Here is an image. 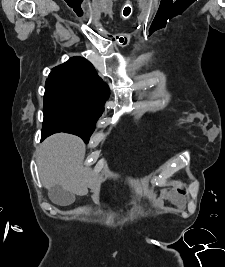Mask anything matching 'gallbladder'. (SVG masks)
<instances>
[{
  "instance_id": "bac80fb5",
  "label": "gallbladder",
  "mask_w": 225,
  "mask_h": 267,
  "mask_svg": "<svg viewBox=\"0 0 225 267\" xmlns=\"http://www.w3.org/2000/svg\"><path fill=\"white\" fill-rule=\"evenodd\" d=\"M48 196L53 203L60 206L70 205L74 201V194L57 184L48 189Z\"/></svg>"
}]
</instances>
